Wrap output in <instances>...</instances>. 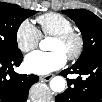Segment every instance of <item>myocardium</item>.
I'll list each match as a JSON object with an SVG mask.
<instances>
[{"label":"myocardium","instance_id":"obj_1","mask_svg":"<svg viewBox=\"0 0 102 102\" xmlns=\"http://www.w3.org/2000/svg\"><path fill=\"white\" fill-rule=\"evenodd\" d=\"M54 39H56L58 42L64 45H67L71 42L75 43L74 49L66 55V58L70 61L77 60L81 56L84 50L83 35L75 29L65 32L63 34L57 35L54 37Z\"/></svg>","mask_w":102,"mask_h":102}]
</instances>
